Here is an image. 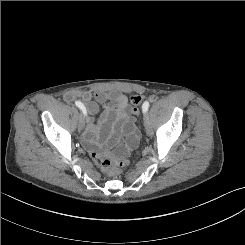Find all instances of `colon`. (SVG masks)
Instances as JSON below:
<instances>
[{
  "instance_id": "obj_1",
  "label": "colon",
  "mask_w": 245,
  "mask_h": 245,
  "mask_svg": "<svg viewBox=\"0 0 245 245\" xmlns=\"http://www.w3.org/2000/svg\"><path fill=\"white\" fill-rule=\"evenodd\" d=\"M144 99L145 97L140 94L131 97L133 115H139V106ZM91 157L99 167L112 176L120 174L122 168L129 164L127 159H111L97 150L91 151Z\"/></svg>"
}]
</instances>
